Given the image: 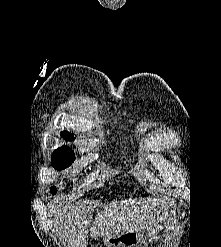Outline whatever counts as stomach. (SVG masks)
Returning a JSON list of instances; mask_svg holds the SVG:
<instances>
[{
    "label": "stomach",
    "instance_id": "1",
    "mask_svg": "<svg viewBox=\"0 0 221 247\" xmlns=\"http://www.w3.org/2000/svg\"><path fill=\"white\" fill-rule=\"evenodd\" d=\"M181 209V204H175L172 213L175 214ZM162 229L161 224H156L144 230H129L106 237L104 242L108 247H139L143 243L145 234L149 237L155 236Z\"/></svg>",
    "mask_w": 221,
    "mask_h": 247
}]
</instances>
